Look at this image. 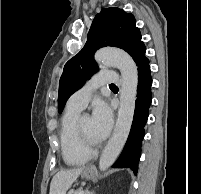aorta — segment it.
<instances>
[{
	"instance_id": "aorta-1",
	"label": "aorta",
	"mask_w": 201,
	"mask_h": 194,
	"mask_svg": "<svg viewBox=\"0 0 201 194\" xmlns=\"http://www.w3.org/2000/svg\"><path fill=\"white\" fill-rule=\"evenodd\" d=\"M95 60L117 67L122 79L115 129L99 160V169L105 171L121 152L131 129L137 95L138 70L132 57L120 49L102 48L95 53Z\"/></svg>"
}]
</instances>
